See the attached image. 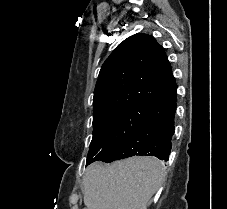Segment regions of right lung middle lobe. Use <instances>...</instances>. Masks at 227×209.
I'll return each instance as SVG.
<instances>
[{"label": "right lung middle lobe", "mask_w": 227, "mask_h": 209, "mask_svg": "<svg viewBox=\"0 0 227 209\" xmlns=\"http://www.w3.org/2000/svg\"><path fill=\"white\" fill-rule=\"evenodd\" d=\"M150 106L128 98L104 102L103 110L93 116V138L86 165L102 160L143 123Z\"/></svg>", "instance_id": "dd1d6c3e"}]
</instances>
